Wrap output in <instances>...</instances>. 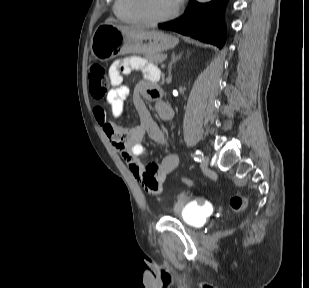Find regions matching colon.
Wrapping results in <instances>:
<instances>
[{
	"instance_id": "obj_1",
	"label": "colon",
	"mask_w": 309,
	"mask_h": 288,
	"mask_svg": "<svg viewBox=\"0 0 309 288\" xmlns=\"http://www.w3.org/2000/svg\"><path fill=\"white\" fill-rule=\"evenodd\" d=\"M88 80L91 95L95 99L104 98L108 91V78L105 68L100 65L92 66L89 69ZM181 181L185 186L191 184V180L186 177L182 178ZM230 206L233 211L239 212L245 208L246 199L242 195L234 194L230 198Z\"/></svg>"
}]
</instances>
